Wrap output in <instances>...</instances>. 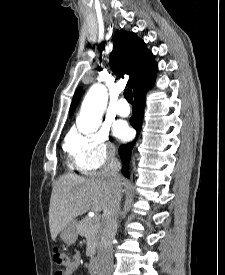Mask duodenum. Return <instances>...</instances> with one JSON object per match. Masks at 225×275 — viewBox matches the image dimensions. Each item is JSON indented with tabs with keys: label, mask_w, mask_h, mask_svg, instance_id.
Here are the masks:
<instances>
[{
	"label": "duodenum",
	"mask_w": 225,
	"mask_h": 275,
	"mask_svg": "<svg viewBox=\"0 0 225 275\" xmlns=\"http://www.w3.org/2000/svg\"><path fill=\"white\" fill-rule=\"evenodd\" d=\"M97 259L95 257H92L89 262V273L90 275H96L97 272V265H96Z\"/></svg>",
	"instance_id": "410a0bca"
}]
</instances>
